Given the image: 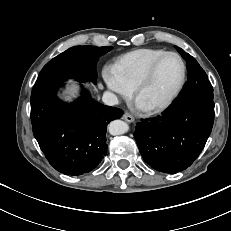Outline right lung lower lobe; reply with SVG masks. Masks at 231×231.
<instances>
[{"mask_svg": "<svg viewBox=\"0 0 231 231\" xmlns=\"http://www.w3.org/2000/svg\"><path fill=\"white\" fill-rule=\"evenodd\" d=\"M60 86L62 83L33 88V134L57 171L81 175L93 170L106 155L107 124L123 111L98 103L85 90L75 102H62L56 97Z\"/></svg>", "mask_w": 231, "mask_h": 231, "instance_id": "right-lung-lower-lobe-1", "label": "right lung lower lobe"}]
</instances>
